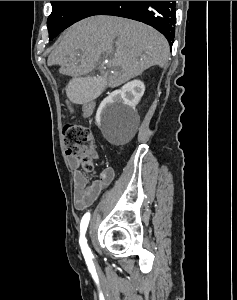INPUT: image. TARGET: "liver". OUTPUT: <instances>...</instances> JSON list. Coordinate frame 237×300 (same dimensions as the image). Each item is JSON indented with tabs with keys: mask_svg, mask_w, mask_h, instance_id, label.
Here are the masks:
<instances>
[{
	"mask_svg": "<svg viewBox=\"0 0 237 300\" xmlns=\"http://www.w3.org/2000/svg\"><path fill=\"white\" fill-rule=\"evenodd\" d=\"M48 67L60 65L62 75H87L107 61L102 71L108 87H119L143 71L164 67L169 45L158 31L121 17L97 15L72 25L58 39Z\"/></svg>",
	"mask_w": 237,
	"mask_h": 300,
	"instance_id": "1",
	"label": "liver"
}]
</instances>
